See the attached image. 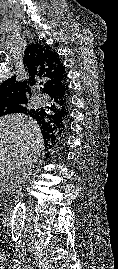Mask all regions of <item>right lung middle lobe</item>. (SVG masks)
I'll return each instance as SVG.
<instances>
[{"instance_id": "right-lung-middle-lobe-1", "label": "right lung middle lobe", "mask_w": 118, "mask_h": 269, "mask_svg": "<svg viewBox=\"0 0 118 269\" xmlns=\"http://www.w3.org/2000/svg\"><path fill=\"white\" fill-rule=\"evenodd\" d=\"M26 107V103L0 106V117L11 113H21Z\"/></svg>"}]
</instances>
